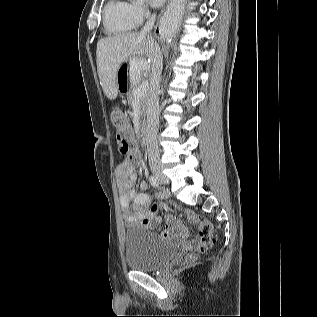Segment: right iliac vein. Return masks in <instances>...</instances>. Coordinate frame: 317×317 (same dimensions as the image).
I'll list each match as a JSON object with an SVG mask.
<instances>
[{"label":"right iliac vein","instance_id":"1","mask_svg":"<svg viewBox=\"0 0 317 317\" xmlns=\"http://www.w3.org/2000/svg\"><path fill=\"white\" fill-rule=\"evenodd\" d=\"M155 175H156L162 182H164V183H168V182H169L168 178H167L165 175H163L160 171H156V172H155Z\"/></svg>","mask_w":317,"mask_h":317}]
</instances>
